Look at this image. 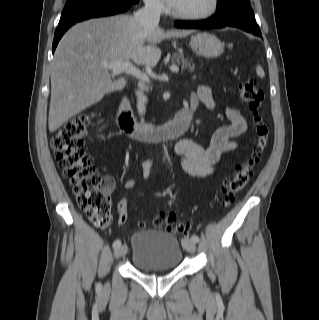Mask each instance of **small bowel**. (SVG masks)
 <instances>
[{"label": "small bowel", "instance_id": "1", "mask_svg": "<svg viewBox=\"0 0 319 320\" xmlns=\"http://www.w3.org/2000/svg\"><path fill=\"white\" fill-rule=\"evenodd\" d=\"M199 103L204 104L208 109L214 108L211 91L206 86L198 87L192 97L190 109L193 111ZM225 113L229 124L219 127L214 132L207 148L187 139L176 144L175 153L180 165L189 175L194 177L211 175L222 158L235 148L236 139L247 130V122L239 110L228 108ZM151 166L152 163H145L142 167L143 171L145 172ZM141 182L142 178L128 179L124 182V188L133 189ZM117 208L119 213H126V201H120Z\"/></svg>", "mask_w": 319, "mask_h": 320}]
</instances>
